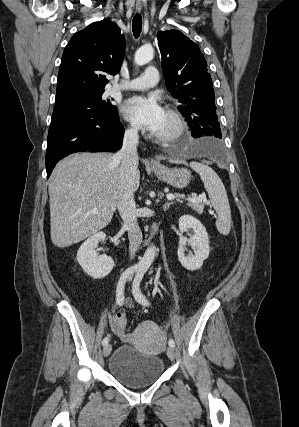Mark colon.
Instances as JSON below:
<instances>
[{"instance_id": "colon-1", "label": "colon", "mask_w": 299, "mask_h": 427, "mask_svg": "<svg viewBox=\"0 0 299 427\" xmlns=\"http://www.w3.org/2000/svg\"><path fill=\"white\" fill-rule=\"evenodd\" d=\"M125 324H126V319H125V317L122 315V316H120V317H118V319H117V321H116V325H117V329H118V332H120V333H124L126 330H125Z\"/></svg>"}]
</instances>
